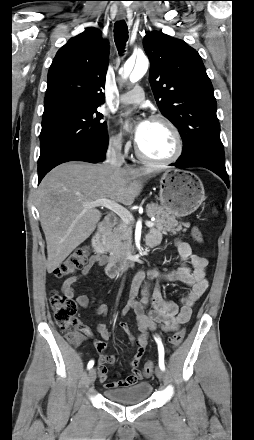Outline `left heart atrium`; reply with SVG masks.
Segmentation results:
<instances>
[{"label":"left heart atrium","instance_id":"39dd6f15","mask_svg":"<svg viewBox=\"0 0 254 440\" xmlns=\"http://www.w3.org/2000/svg\"><path fill=\"white\" fill-rule=\"evenodd\" d=\"M119 122L124 129L131 132L135 142L138 144L144 138L151 121H135L131 116L125 115Z\"/></svg>","mask_w":254,"mask_h":440}]
</instances>
